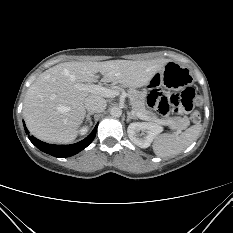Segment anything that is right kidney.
<instances>
[{"instance_id": "obj_1", "label": "right kidney", "mask_w": 233, "mask_h": 233, "mask_svg": "<svg viewBox=\"0 0 233 233\" xmlns=\"http://www.w3.org/2000/svg\"><path fill=\"white\" fill-rule=\"evenodd\" d=\"M88 129H89L88 126L82 127V128L79 130V133H80L81 135H84V134L87 133Z\"/></svg>"}]
</instances>
